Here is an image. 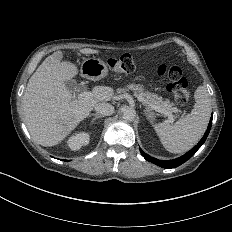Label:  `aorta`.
Instances as JSON below:
<instances>
[{"label":"aorta","mask_w":232,"mask_h":232,"mask_svg":"<svg viewBox=\"0 0 232 232\" xmlns=\"http://www.w3.org/2000/svg\"><path fill=\"white\" fill-rule=\"evenodd\" d=\"M121 113L125 121H133L136 118V110L131 106H123Z\"/></svg>","instance_id":"762f6f07"}]
</instances>
